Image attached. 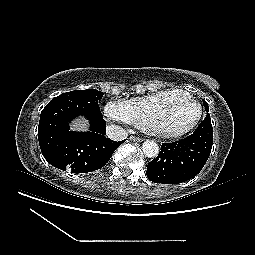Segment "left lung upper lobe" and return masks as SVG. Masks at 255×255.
I'll return each mask as SVG.
<instances>
[{"instance_id": "1", "label": "left lung upper lobe", "mask_w": 255, "mask_h": 255, "mask_svg": "<svg viewBox=\"0 0 255 255\" xmlns=\"http://www.w3.org/2000/svg\"><path fill=\"white\" fill-rule=\"evenodd\" d=\"M203 103H204V106H205V108H206V111H207V110L209 111V106H208L207 102H206V101H203Z\"/></svg>"}]
</instances>
